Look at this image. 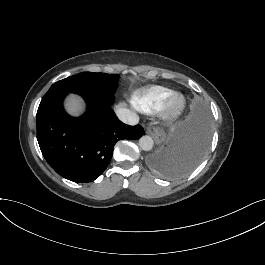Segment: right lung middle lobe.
<instances>
[{
	"mask_svg": "<svg viewBox=\"0 0 265 265\" xmlns=\"http://www.w3.org/2000/svg\"><path fill=\"white\" fill-rule=\"evenodd\" d=\"M117 81L118 74L80 73L56 82L45 96L72 92L93 102L111 105Z\"/></svg>",
	"mask_w": 265,
	"mask_h": 265,
	"instance_id": "obj_1",
	"label": "right lung middle lobe"
}]
</instances>
